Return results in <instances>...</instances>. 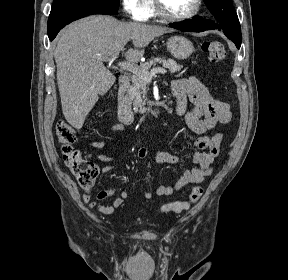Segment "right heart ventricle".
I'll list each match as a JSON object with an SVG mask.
<instances>
[{
    "mask_svg": "<svg viewBox=\"0 0 288 280\" xmlns=\"http://www.w3.org/2000/svg\"><path fill=\"white\" fill-rule=\"evenodd\" d=\"M155 15V9H154V4L151 0V7H150V10L148 12V15L146 18H150V17H153Z\"/></svg>",
    "mask_w": 288,
    "mask_h": 280,
    "instance_id": "e07e8e85",
    "label": "right heart ventricle"
}]
</instances>
